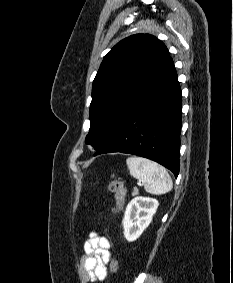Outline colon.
Returning <instances> with one entry per match:
<instances>
[{
    "label": "colon",
    "instance_id": "1",
    "mask_svg": "<svg viewBox=\"0 0 233 283\" xmlns=\"http://www.w3.org/2000/svg\"><path fill=\"white\" fill-rule=\"evenodd\" d=\"M107 191L112 193L116 200V206L114 208V212L120 210L125 203L126 195H127V189L125 187V184L122 180H113L111 181L107 187ZM119 265L115 258H112L110 260V270L113 274H116L118 271Z\"/></svg>",
    "mask_w": 233,
    "mask_h": 283
}]
</instances>
